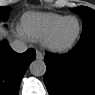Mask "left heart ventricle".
Instances as JSON below:
<instances>
[{"mask_svg": "<svg viewBox=\"0 0 95 95\" xmlns=\"http://www.w3.org/2000/svg\"><path fill=\"white\" fill-rule=\"evenodd\" d=\"M78 30H79L78 21L76 19H69L64 23L62 28L59 30L55 40L61 44L68 43L76 37Z\"/></svg>", "mask_w": 95, "mask_h": 95, "instance_id": "left-heart-ventricle-1", "label": "left heart ventricle"}]
</instances>
